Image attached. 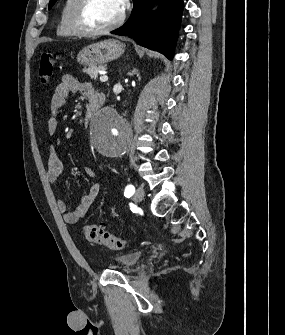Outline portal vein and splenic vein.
I'll return each instance as SVG.
<instances>
[{
  "instance_id": "18ae733b",
  "label": "portal vein and splenic vein",
  "mask_w": 285,
  "mask_h": 335,
  "mask_svg": "<svg viewBox=\"0 0 285 335\" xmlns=\"http://www.w3.org/2000/svg\"><path fill=\"white\" fill-rule=\"evenodd\" d=\"M98 74H101L100 82H107L108 76H105V74H107V72H98Z\"/></svg>"
}]
</instances>
